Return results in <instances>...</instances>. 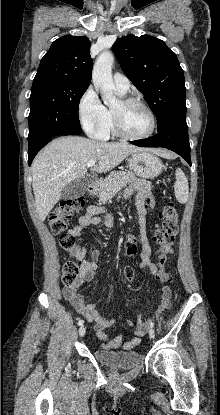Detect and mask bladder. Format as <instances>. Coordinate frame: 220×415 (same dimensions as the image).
<instances>
[{"label": "bladder", "instance_id": "1", "mask_svg": "<svg viewBox=\"0 0 220 415\" xmlns=\"http://www.w3.org/2000/svg\"><path fill=\"white\" fill-rule=\"evenodd\" d=\"M94 356L101 363L119 369H131L143 361L142 354L137 351H115L102 347L94 350Z\"/></svg>", "mask_w": 220, "mask_h": 415}]
</instances>
